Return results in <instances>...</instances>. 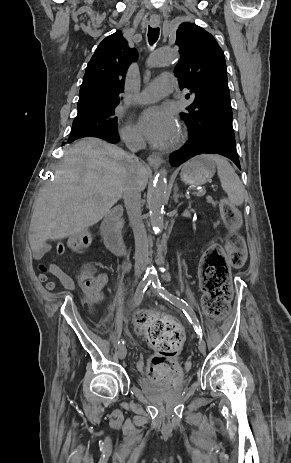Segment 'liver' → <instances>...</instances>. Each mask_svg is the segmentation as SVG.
I'll use <instances>...</instances> for the list:
<instances>
[{"mask_svg": "<svg viewBox=\"0 0 291 463\" xmlns=\"http://www.w3.org/2000/svg\"><path fill=\"white\" fill-rule=\"evenodd\" d=\"M128 154L98 138H85L64 152L53 182L38 194L29 229L34 251L49 249L47 240L74 236L98 223L123 196L130 177ZM141 190L148 169L140 163Z\"/></svg>", "mask_w": 291, "mask_h": 463, "instance_id": "1", "label": "liver"}]
</instances>
